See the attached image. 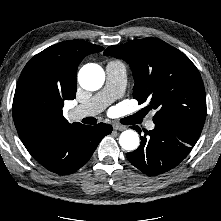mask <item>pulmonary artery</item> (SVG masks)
Masks as SVG:
<instances>
[{
	"label": "pulmonary artery",
	"instance_id": "pulmonary-artery-1",
	"mask_svg": "<svg viewBox=\"0 0 221 221\" xmlns=\"http://www.w3.org/2000/svg\"><path fill=\"white\" fill-rule=\"evenodd\" d=\"M106 83L104 88L91 97L87 102L77 106L70 112L72 119H81L94 116L103 111L114 100L124 93L126 81V67L117 60L109 61L105 67ZM148 130H153L155 124L152 120L146 124Z\"/></svg>",
	"mask_w": 221,
	"mask_h": 221
}]
</instances>
